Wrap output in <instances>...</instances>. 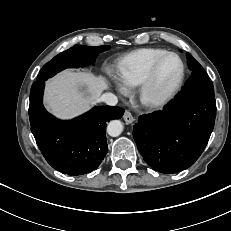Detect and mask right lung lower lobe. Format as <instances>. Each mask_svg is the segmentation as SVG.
<instances>
[{
  "label": "right lung lower lobe",
  "instance_id": "obj_1",
  "mask_svg": "<svg viewBox=\"0 0 231 231\" xmlns=\"http://www.w3.org/2000/svg\"><path fill=\"white\" fill-rule=\"evenodd\" d=\"M45 80H36L30 92L31 131L46 161L68 175H81L96 169L108 149L106 123L119 119L124 109L114 106L94 107L69 121L58 120L43 104Z\"/></svg>",
  "mask_w": 231,
  "mask_h": 231
}]
</instances>
